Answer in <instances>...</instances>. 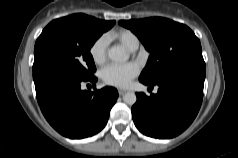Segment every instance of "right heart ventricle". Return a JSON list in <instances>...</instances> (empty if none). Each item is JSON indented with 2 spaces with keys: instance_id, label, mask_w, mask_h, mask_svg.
<instances>
[{
  "instance_id": "right-heart-ventricle-1",
  "label": "right heart ventricle",
  "mask_w": 238,
  "mask_h": 158,
  "mask_svg": "<svg viewBox=\"0 0 238 158\" xmlns=\"http://www.w3.org/2000/svg\"><path fill=\"white\" fill-rule=\"evenodd\" d=\"M112 38L117 39L127 49L133 51L139 46V39L135 33L130 30H120L111 35Z\"/></svg>"
}]
</instances>
